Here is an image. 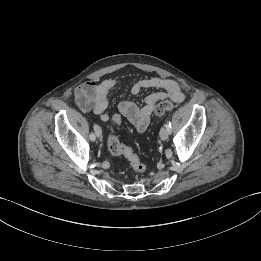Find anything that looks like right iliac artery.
<instances>
[{"mask_svg": "<svg viewBox=\"0 0 261 261\" xmlns=\"http://www.w3.org/2000/svg\"><path fill=\"white\" fill-rule=\"evenodd\" d=\"M97 127H98V125H95V126H94V130H96ZM90 139H91L92 141L95 140V135H94L93 132L90 134Z\"/></svg>", "mask_w": 261, "mask_h": 261, "instance_id": "82829eb1", "label": "right iliac artery"}]
</instances>
